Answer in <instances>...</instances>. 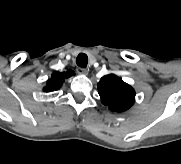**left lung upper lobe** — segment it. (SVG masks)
Returning <instances> with one entry per match:
<instances>
[{"label": "left lung upper lobe", "mask_w": 181, "mask_h": 164, "mask_svg": "<svg viewBox=\"0 0 181 164\" xmlns=\"http://www.w3.org/2000/svg\"><path fill=\"white\" fill-rule=\"evenodd\" d=\"M101 102L111 111L128 110L135 99L134 89L114 74L103 76L98 83Z\"/></svg>", "instance_id": "obj_1"}]
</instances>
